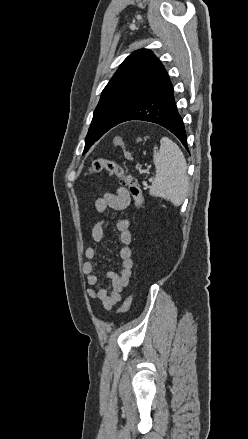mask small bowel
I'll list each match as a JSON object with an SVG mask.
<instances>
[{"label": "small bowel", "instance_id": "small-bowel-1", "mask_svg": "<svg viewBox=\"0 0 248 439\" xmlns=\"http://www.w3.org/2000/svg\"><path fill=\"white\" fill-rule=\"evenodd\" d=\"M130 194L124 187H119L116 193L106 192L103 196L95 201V208L100 213H105L109 209L121 211L130 204ZM116 229L119 233L120 242L124 245L120 251L122 268L119 273L108 272L106 278L108 286L104 287L99 275L95 272L97 255L94 247H88L85 250L87 261L83 264V272L86 275V283L95 288H89L87 293L89 297L100 300L104 309L111 310L120 300L121 293L128 286L133 268L132 251L128 245L132 241L130 231V222L124 217H118L115 221ZM91 237L94 242H101L104 238V221L97 222L91 231Z\"/></svg>", "mask_w": 248, "mask_h": 439}]
</instances>
